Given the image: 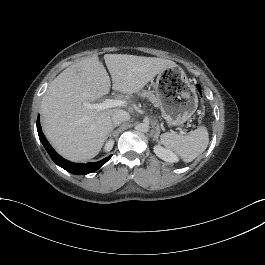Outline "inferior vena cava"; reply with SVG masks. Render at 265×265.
Wrapping results in <instances>:
<instances>
[{"label":"inferior vena cava","mask_w":265,"mask_h":265,"mask_svg":"<svg viewBox=\"0 0 265 265\" xmlns=\"http://www.w3.org/2000/svg\"><path fill=\"white\" fill-rule=\"evenodd\" d=\"M129 119H130V114L124 110H116L112 114V121L116 125L124 121H128Z\"/></svg>","instance_id":"inferior-vena-cava-1"}]
</instances>
